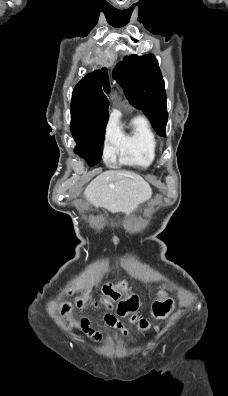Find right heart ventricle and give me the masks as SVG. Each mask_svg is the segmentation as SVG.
<instances>
[{"label":"right heart ventricle","instance_id":"right-heart-ventricle-1","mask_svg":"<svg viewBox=\"0 0 228 396\" xmlns=\"http://www.w3.org/2000/svg\"><path fill=\"white\" fill-rule=\"evenodd\" d=\"M157 140L148 122L135 117L128 130L120 129L117 154L121 163L146 168L156 158Z\"/></svg>","mask_w":228,"mask_h":396}]
</instances>
